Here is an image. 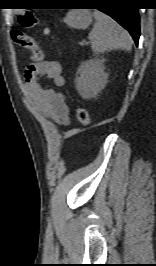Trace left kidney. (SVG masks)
Wrapping results in <instances>:
<instances>
[{
	"mask_svg": "<svg viewBox=\"0 0 156 266\" xmlns=\"http://www.w3.org/2000/svg\"><path fill=\"white\" fill-rule=\"evenodd\" d=\"M104 70V59L95 58L81 63L76 89L82 98H94L105 87L108 74Z\"/></svg>",
	"mask_w": 156,
	"mask_h": 266,
	"instance_id": "obj_1",
	"label": "left kidney"
}]
</instances>
